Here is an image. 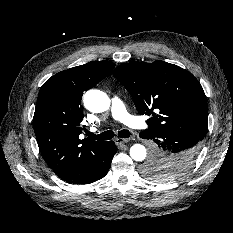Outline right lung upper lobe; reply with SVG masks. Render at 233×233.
<instances>
[{"mask_svg": "<svg viewBox=\"0 0 233 233\" xmlns=\"http://www.w3.org/2000/svg\"><path fill=\"white\" fill-rule=\"evenodd\" d=\"M110 62L91 61L61 71L42 86L33 117V128L43 158L60 175L104 142L79 139L82 133L83 92L94 87L114 68Z\"/></svg>", "mask_w": 233, "mask_h": 233, "instance_id": "cb5924a9", "label": "right lung upper lobe"}]
</instances>
